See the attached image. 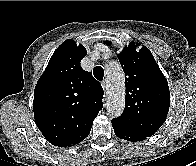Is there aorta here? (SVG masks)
Returning <instances> with one entry per match:
<instances>
[{"instance_id":"762f6f07","label":"aorta","mask_w":196,"mask_h":166,"mask_svg":"<svg viewBox=\"0 0 196 166\" xmlns=\"http://www.w3.org/2000/svg\"><path fill=\"white\" fill-rule=\"evenodd\" d=\"M107 111L110 115L118 117L125 107L124 73L118 63H113L106 68Z\"/></svg>"}]
</instances>
